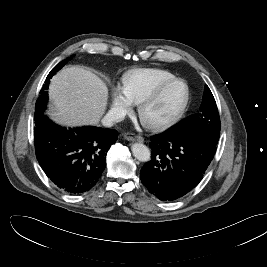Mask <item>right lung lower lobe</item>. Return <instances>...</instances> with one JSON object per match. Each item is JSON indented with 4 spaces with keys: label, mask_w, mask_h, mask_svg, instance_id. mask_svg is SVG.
I'll use <instances>...</instances> for the list:
<instances>
[{
    "label": "right lung lower lobe",
    "mask_w": 267,
    "mask_h": 267,
    "mask_svg": "<svg viewBox=\"0 0 267 267\" xmlns=\"http://www.w3.org/2000/svg\"><path fill=\"white\" fill-rule=\"evenodd\" d=\"M36 157L50 180L62 191H89L106 167V155L118 137L114 129L85 126L67 129L45 115L35 120Z\"/></svg>",
    "instance_id": "obj_1"
}]
</instances>
